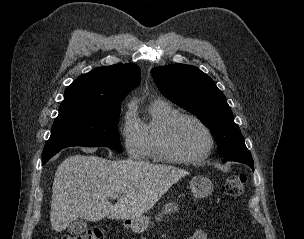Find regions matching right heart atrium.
I'll use <instances>...</instances> for the list:
<instances>
[{"label":"right heart atrium","instance_id":"1","mask_svg":"<svg viewBox=\"0 0 304 239\" xmlns=\"http://www.w3.org/2000/svg\"><path fill=\"white\" fill-rule=\"evenodd\" d=\"M120 132L127 154L133 158L142 157L144 155V140L141 123L131 106L123 115Z\"/></svg>","mask_w":304,"mask_h":239}]
</instances>
